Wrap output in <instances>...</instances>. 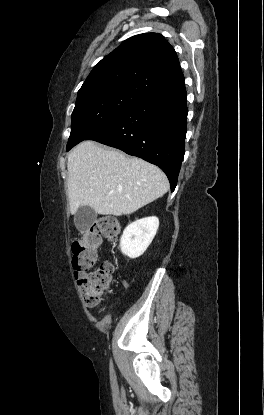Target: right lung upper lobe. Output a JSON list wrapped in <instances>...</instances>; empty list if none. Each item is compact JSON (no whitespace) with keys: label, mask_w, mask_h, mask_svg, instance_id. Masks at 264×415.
Masks as SVG:
<instances>
[{"label":"right lung upper lobe","mask_w":264,"mask_h":415,"mask_svg":"<svg viewBox=\"0 0 264 415\" xmlns=\"http://www.w3.org/2000/svg\"><path fill=\"white\" fill-rule=\"evenodd\" d=\"M184 81L178 57L169 42L157 33L125 40L91 71L78 96L122 91L142 98Z\"/></svg>","instance_id":"cb5924a9"}]
</instances>
